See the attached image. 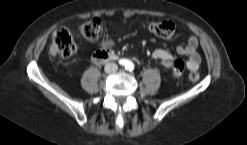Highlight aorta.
<instances>
[{"label":"aorta","instance_id":"obj_1","mask_svg":"<svg viewBox=\"0 0 247 145\" xmlns=\"http://www.w3.org/2000/svg\"><path fill=\"white\" fill-rule=\"evenodd\" d=\"M130 64V67H133V63H129Z\"/></svg>","mask_w":247,"mask_h":145}]
</instances>
